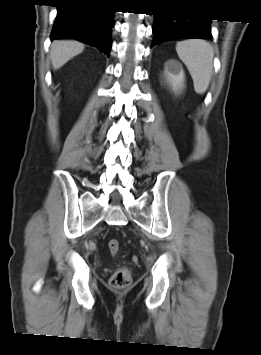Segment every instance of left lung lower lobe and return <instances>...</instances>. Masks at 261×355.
<instances>
[{
    "label": "left lung lower lobe",
    "mask_w": 261,
    "mask_h": 355,
    "mask_svg": "<svg viewBox=\"0 0 261 355\" xmlns=\"http://www.w3.org/2000/svg\"><path fill=\"white\" fill-rule=\"evenodd\" d=\"M152 46L161 41L177 39H211V20L208 18L175 17L156 14Z\"/></svg>",
    "instance_id": "1"
}]
</instances>
